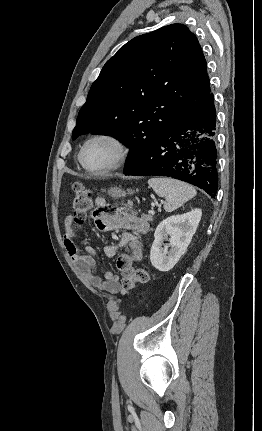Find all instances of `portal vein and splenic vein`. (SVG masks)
Listing matches in <instances>:
<instances>
[{
	"label": "portal vein and splenic vein",
	"instance_id": "obj_1",
	"mask_svg": "<svg viewBox=\"0 0 262 431\" xmlns=\"http://www.w3.org/2000/svg\"><path fill=\"white\" fill-rule=\"evenodd\" d=\"M148 213L153 215L155 213V211L152 209V210H149Z\"/></svg>",
	"mask_w": 262,
	"mask_h": 431
}]
</instances>
